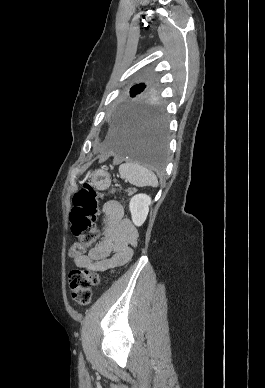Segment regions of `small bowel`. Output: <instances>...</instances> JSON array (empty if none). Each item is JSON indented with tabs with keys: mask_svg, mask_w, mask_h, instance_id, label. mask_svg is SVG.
<instances>
[{
	"mask_svg": "<svg viewBox=\"0 0 265 388\" xmlns=\"http://www.w3.org/2000/svg\"><path fill=\"white\" fill-rule=\"evenodd\" d=\"M104 238L83 254L73 259L75 266L92 272H113L127 263L138 241V231L131 220L124 218L122 205L115 200L103 205Z\"/></svg>",
	"mask_w": 265,
	"mask_h": 388,
	"instance_id": "1",
	"label": "small bowel"
}]
</instances>
